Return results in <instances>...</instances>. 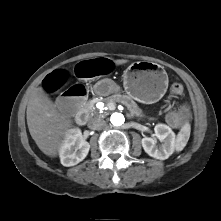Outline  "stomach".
<instances>
[{"mask_svg": "<svg viewBox=\"0 0 221 221\" xmlns=\"http://www.w3.org/2000/svg\"><path fill=\"white\" fill-rule=\"evenodd\" d=\"M168 82L166 71L154 62H134L123 73L125 92L145 104L159 101L168 88Z\"/></svg>", "mask_w": 221, "mask_h": 221, "instance_id": "obj_1", "label": "stomach"}]
</instances>
